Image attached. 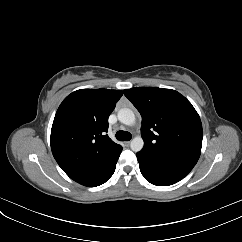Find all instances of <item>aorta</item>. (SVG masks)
I'll list each match as a JSON object with an SVG mask.
<instances>
[{
  "label": "aorta",
  "mask_w": 242,
  "mask_h": 242,
  "mask_svg": "<svg viewBox=\"0 0 242 242\" xmlns=\"http://www.w3.org/2000/svg\"><path fill=\"white\" fill-rule=\"evenodd\" d=\"M118 119L121 123L132 126L135 124V114L131 109L122 108L118 111ZM144 142L141 136H136L131 140L130 147L134 152H139L143 149Z\"/></svg>",
  "instance_id": "aorta-1"
}]
</instances>
